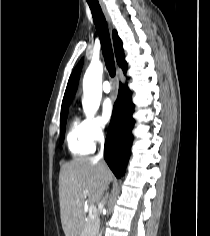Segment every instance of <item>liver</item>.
I'll list each match as a JSON object with an SVG mask.
<instances>
[{
	"mask_svg": "<svg viewBox=\"0 0 210 236\" xmlns=\"http://www.w3.org/2000/svg\"><path fill=\"white\" fill-rule=\"evenodd\" d=\"M113 173L102 161L79 157L65 163L59 175L60 217L65 236H81L86 200L99 203Z\"/></svg>",
	"mask_w": 210,
	"mask_h": 236,
	"instance_id": "liver-1",
	"label": "liver"
}]
</instances>
